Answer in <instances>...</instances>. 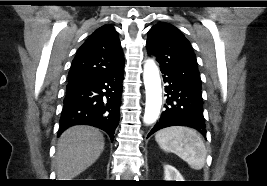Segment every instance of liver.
<instances>
[{
  "label": "liver",
  "mask_w": 267,
  "mask_h": 186,
  "mask_svg": "<svg viewBox=\"0 0 267 186\" xmlns=\"http://www.w3.org/2000/svg\"><path fill=\"white\" fill-rule=\"evenodd\" d=\"M104 149L102 133L90 126H73L62 133L57 143L55 169L58 180H71L101 155Z\"/></svg>",
  "instance_id": "6515ba94"
}]
</instances>
